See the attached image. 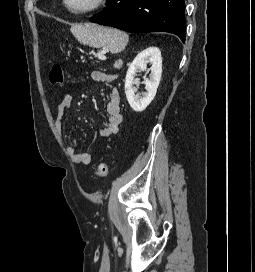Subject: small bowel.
Instances as JSON below:
<instances>
[{"mask_svg":"<svg viewBox=\"0 0 255 272\" xmlns=\"http://www.w3.org/2000/svg\"><path fill=\"white\" fill-rule=\"evenodd\" d=\"M115 77V74L103 71H93L91 73V78L96 82L108 83L113 81ZM73 98L74 96L71 92H65L57 104L55 127L60 134L63 133L62 117L64 116L66 110L70 107ZM106 112V125L99 131L100 136L104 138L116 134L122 123V115L120 112V93L117 89H112L109 94ZM68 150L74 162L85 165L91 162V156L88 153L77 151V143L75 140L69 141Z\"/></svg>","mask_w":255,"mask_h":272,"instance_id":"small-bowel-1","label":"small bowel"}]
</instances>
